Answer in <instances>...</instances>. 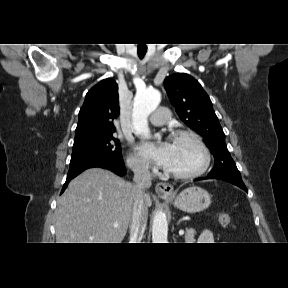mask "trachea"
Masks as SVG:
<instances>
[{"label": "trachea", "instance_id": "3493384b", "mask_svg": "<svg viewBox=\"0 0 288 288\" xmlns=\"http://www.w3.org/2000/svg\"><path fill=\"white\" fill-rule=\"evenodd\" d=\"M146 52H147V48H143V49L138 48L137 53H138L139 58L142 59L145 56Z\"/></svg>", "mask_w": 288, "mask_h": 288}]
</instances>
